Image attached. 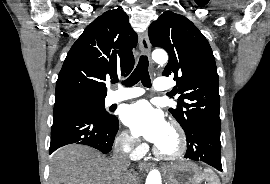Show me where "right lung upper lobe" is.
I'll return each instance as SVG.
<instances>
[{
	"instance_id": "1",
	"label": "right lung upper lobe",
	"mask_w": 270,
	"mask_h": 184,
	"mask_svg": "<svg viewBox=\"0 0 270 184\" xmlns=\"http://www.w3.org/2000/svg\"><path fill=\"white\" fill-rule=\"evenodd\" d=\"M136 43L137 35L122 9L103 13L86 27L68 52L56 82V98L106 97V78L132 71Z\"/></svg>"
}]
</instances>
